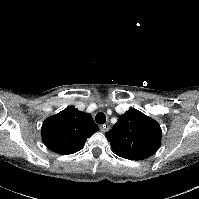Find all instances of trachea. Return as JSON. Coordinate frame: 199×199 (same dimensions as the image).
Segmentation results:
<instances>
[{"instance_id":"3493384b","label":"trachea","mask_w":199,"mask_h":199,"mask_svg":"<svg viewBox=\"0 0 199 199\" xmlns=\"http://www.w3.org/2000/svg\"><path fill=\"white\" fill-rule=\"evenodd\" d=\"M95 121L97 124H104L106 122V116L103 112L97 113L95 116Z\"/></svg>"}]
</instances>
